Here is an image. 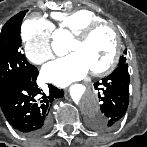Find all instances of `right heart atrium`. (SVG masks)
<instances>
[{
    "instance_id": "d8ad5b80",
    "label": "right heart atrium",
    "mask_w": 147,
    "mask_h": 147,
    "mask_svg": "<svg viewBox=\"0 0 147 147\" xmlns=\"http://www.w3.org/2000/svg\"><path fill=\"white\" fill-rule=\"evenodd\" d=\"M53 25L41 16L30 17L22 26L21 36L27 59L42 65L53 57L51 35Z\"/></svg>"
}]
</instances>
